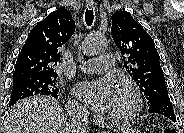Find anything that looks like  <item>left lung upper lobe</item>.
<instances>
[{"mask_svg":"<svg viewBox=\"0 0 184 133\" xmlns=\"http://www.w3.org/2000/svg\"><path fill=\"white\" fill-rule=\"evenodd\" d=\"M112 38L124 58L127 72L147 96L149 106L170 100L160 57L151 36L125 10L112 15Z\"/></svg>","mask_w":184,"mask_h":133,"instance_id":"5c2ea615","label":"left lung upper lobe"}]
</instances>
